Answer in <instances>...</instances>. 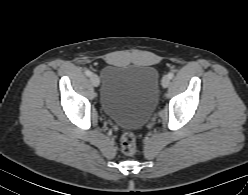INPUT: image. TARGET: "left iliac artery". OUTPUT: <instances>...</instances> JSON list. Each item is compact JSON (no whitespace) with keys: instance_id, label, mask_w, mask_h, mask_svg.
<instances>
[{"instance_id":"44dca946","label":"left iliac artery","mask_w":248,"mask_h":195,"mask_svg":"<svg viewBox=\"0 0 248 195\" xmlns=\"http://www.w3.org/2000/svg\"><path fill=\"white\" fill-rule=\"evenodd\" d=\"M170 79H172L174 77V73L173 72H169L167 75Z\"/></svg>"}]
</instances>
